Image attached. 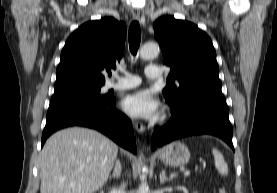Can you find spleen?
<instances>
[{
	"instance_id": "3e777b00",
	"label": "spleen",
	"mask_w": 277,
	"mask_h": 193,
	"mask_svg": "<svg viewBox=\"0 0 277 193\" xmlns=\"http://www.w3.org/2000/svg\"><path fill=\"white\" fill-rule=\"evenodd\" d=\"M212 153L214 156L215 167L218 172L223 176L228 175V164L225 162L222 153L215 148L212 150Z\"/></svg>"
}]
</instances>
